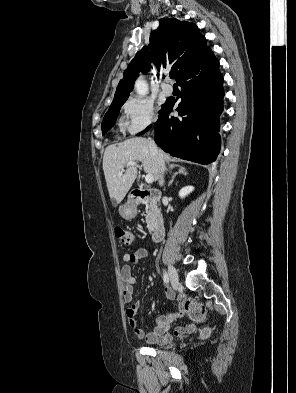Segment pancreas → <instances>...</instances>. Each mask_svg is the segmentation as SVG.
Wrapping results in <instances>:
<instances>
[{"mask_svg": "<svg viewBox=\"0 0 296 393\" xmlns=\"http://www.w3.org/2000/svg\"><path fill=\"white\" fill-rule=\"evenodd\" d=\"M146 204V223H147V228L149 231L153 229L155 217L157 215V209L155 203H153L151 200H147L145 202Z\"/></svg>", "mask_w": 296, "mask_h": 393, "instance_id": "1", "label": "pancreas"}]
</instances>
